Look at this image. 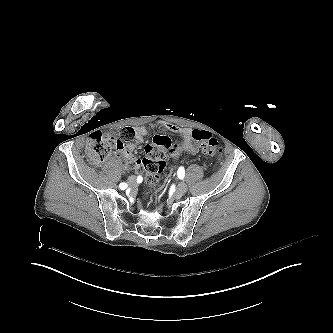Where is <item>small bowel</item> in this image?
<instances>
[{"label": "small bowel", "instance_id": "small-bowel-1", "mask_svg": "<svg viewBox=\"0 0 333 333\" xmlns=\"http://www.w3.org/2000/svg\"><path fill=\"white\" fill-rule=\"evenodd\" d=\"M150 129L170 131L180 135L184 149L192 154L198 151V146L195 145V143H201L202 141L209 142L213 138V133L210 130L199 131L196 129L181 128L180 126L170 122H159L151 125L149 128L144 126L137 127L135 129L136 140L141 142ZM115 149L120 150L119 160L123 162L124 169H134L136 172L140 171L141 161L132 158L131 155V151L135 149L134 144L125 145L123 140H118L115 144ZM179 153L180 151L172 154V156L176 157ZM130 180L134 181L135 176H131Z\"/></svg>", "mask_w": 333, "mask_h": 333}]
</instances>
